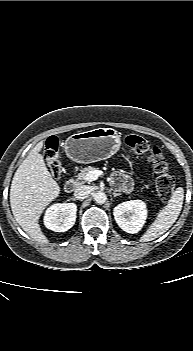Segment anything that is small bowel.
<instances>
[{"mask_svg": "<svg viewBox=\"0 0 193 351\" xmlns=\"http://www.w3.org/2000/svg\"><path fill=\"white\" fill-rule=\"evenodd\" d=\"M111 182L116 188L123 190H129L131 188V183L128 180L127 176L118 171L112 174Z\"/></svg>", "mask_w": 193, "mask_h": 351, "instance_id": "c3829d8e", "label": "small bowel"}]
</instances>
